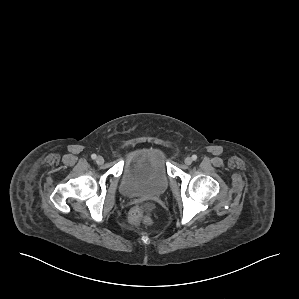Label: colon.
Returning a JSON list of instances; mask_svg holds the SVG:
<instances>
[{
  "mask_svg": "<svg viewBox=\"0 0 299 299\" xmlns=\"http://www.w3.org/2000/svg\"><path fill=\"white\" fill-rule=\"evenodd\" d=\"M128 220L133 225L149 224L151 222L150 217L142 207H134L129 212Z\"/></svg>",
  "mask_w": 299,
  "mask_h": 299,
  "instance_id": "1",
  "label": "colon"
}]
</instances>
